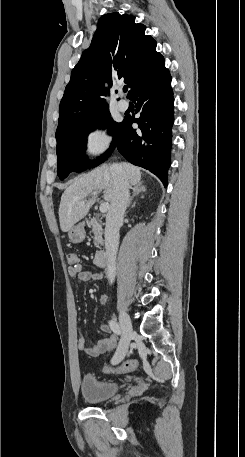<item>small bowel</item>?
I'll list each match as a JSON object with an SVG mask.
<instances>
[{"label": "small bowel", "instance_id": "1", "mask_svg": "<svg viewBox=\"0 0 245 457\" xmlns=\"http://www.w3.org/2000/svg\"><path fill=\"white\" fill-rule=\"evenodd\" d=\"M69 275L72 278H76L80 281H97L102 278L101 274L94 271L82 270L80 266L77 268L70 267L68 269ZM108 300L107 295H101L99 298L100 304H105ZM101 331L106 334V337L100 339L97 344L90 346L83 335L78 338V349L85 352L87 355L97 357L99 355L112 352L117 347V339L112 334L108 325H102Z\"/></svg>", "mask_w": 245, "mask_h": 457}]
</instances>
